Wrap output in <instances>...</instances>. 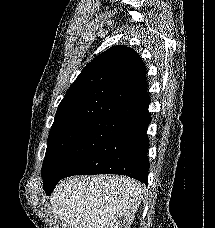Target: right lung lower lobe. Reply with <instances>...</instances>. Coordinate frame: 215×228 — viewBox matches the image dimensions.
<instances>
[{"label": "right lung lower lobe", "instance_id": "right-lung-lower-lobe-1", "mask_svg": "<svg viewBox=\"0 0 215 228\" xmlns=\"http://www.w3.org/2000/svg\"><path fill=\"white\" fill-rule=\"evenodd\" d=\"M151 121L145 118L129 123L71 168L64 177L82 174H123L147 185L150 167L146 134Z\"/></svg>", "mask_w": 215, "mask_h": 228}]
</instances>
